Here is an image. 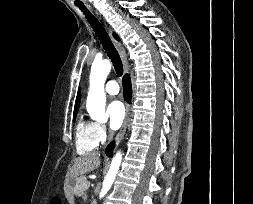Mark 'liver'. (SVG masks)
Returning <instances> with one entry per match:
<instances>
[{"instance_id":"6515ba94","label":"liver","mask_w":253,"mask_h":204,"mask_svg":"<svg viewBox=\"0 0 253 204\" xmlns=\"http://www.w3.org/2000/svg\"><path fill=\"white\" fill-rule=\"evenodd\" d=\"M100 153L99 152H89L74 159L73 166L69 169L67 173V179L65 184L66 197L72 199L71 196V186L69 182L77 179L78 176L89 173L100 165Z\"/></svg>"}]
</instances>
